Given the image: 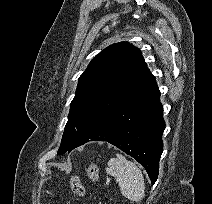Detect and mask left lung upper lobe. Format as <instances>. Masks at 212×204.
Segmentation results:
<instances>
[{
	"label": "left lung upper lobe",
	"instance_id": "1",
	"mask_svg": "<svg viewBox=\"0 0 212 204\" xmlns=\"http://www.w3.org/2000/svg\"><path fill=\"white\" fill-rule=\"evenodd\" d=\"M152 77L141 52L127 42L110 45L92 59L79 82L58 154Z\"/></svg>",
	"mask_w": 212,
	"mask_h": 204
}]
</instances>
